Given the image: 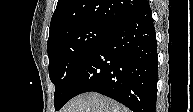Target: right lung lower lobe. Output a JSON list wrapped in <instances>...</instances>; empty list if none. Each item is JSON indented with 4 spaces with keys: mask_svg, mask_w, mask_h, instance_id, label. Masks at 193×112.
Here are the masks:
<instances>
[{
    "mask_svg": "<svg viewBox=\"0 0 193 112\" xmlns=\"http://www.w3.org/2000/svg\"><path fill=\"white\" fill-rule=\"evenodd\" d=\"M157 63L155 27L147 3L97 43L79 69L65 103L94 91L134 112H155Z\"/></svg>",
    "mask_w": 193,
    "mask_h": 112,
    "instance_id": "right-lung-lower-lobe-1",
    "label": "right lung lower lobe"
}]
</instances>
